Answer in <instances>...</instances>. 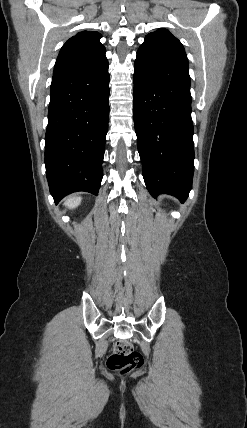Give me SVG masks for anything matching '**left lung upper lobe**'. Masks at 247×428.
Returning a JSON list of instances; mask_svg holds the SVG:
<instances>
[{
  "mask_svg": "<svg viewBox=\"0 0 247 428\" xmlns=\"http://www.w3.org/2000/svg\"><path fill=\"white\" fill-rule=\"evenodd\" d=\"M140 49L154 52L188 67V59L183 45L167 29H160L146 35Z\"/></svg>",
  "mask_w": 247,
  "mask_h": 428,
  "instance_id": "left-lung-upper-lobe-1",
  "label": "left lung upper lobe"
}]
</instances>
